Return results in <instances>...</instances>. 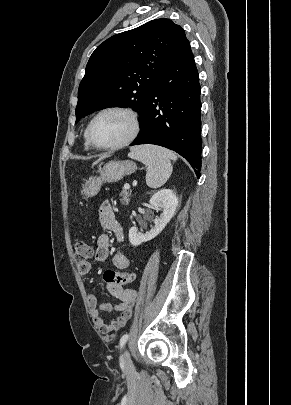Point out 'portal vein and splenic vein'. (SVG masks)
<instances>
[{
	"label": "portal vein and splenic vein",
	"instance_id": "portal-vein-and-splenic-vein-1",
	"mask_svg": "<svg viewBox=\"0 0 291 405\" xmlns=\"http://www.w3.org/2000/svg\"><path fill=\"white\" fill-rule=\"evenodd\" d=\"M124 189H125V190H129V189H130V185H129V184H125V185H124Z\"/></svg>",
	"mask_w": 291,
	"mask_h": 405
}]
</instances>
